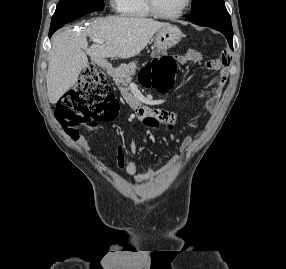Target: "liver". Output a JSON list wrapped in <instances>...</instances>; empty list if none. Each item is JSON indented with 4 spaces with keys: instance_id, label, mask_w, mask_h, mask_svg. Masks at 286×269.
Segmentation results:
<instances>
[{
    "instance_id": "6515ba94",
    "label": "liver",
    "mask_w": 286,
    "mask_h": 269,
    "mask_svg": "<svg viewBox=\"0 0 286 269\" xmlns=\"http://www.w3.org/2000/svg\"><path fill=\"white\" fill-rule=\"evenodd\" d=\"M168 23L138 17H105L72 34L64 31L55 35L48 58L46 77L47 95L55 104L78 80L82 69L88 67V58L100 62L106 58L128 59L138 55L153 35ZM91 40L102 39L88 47Z\"/></svg>"
}]
</instances>
